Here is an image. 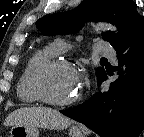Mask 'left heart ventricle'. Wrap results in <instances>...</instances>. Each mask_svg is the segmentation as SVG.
<instances>
[{
    "mask_svg": "<svg viewBox=\"0 0 144 137\" xmlns=\"http://www.w3.org/2000/svg\"><path fill=\"white\" fill-rule=\"evenodd\" d=\"M76 76V72L66 68L54 69L43 78L44 90L55 100H69L78 93Z\"/></svg>",
    "mask_w": 144,
    "mask_h": 137,
    "instance_id": "left-heart-ventricle-1",
    "label": "left heart ventricle"
}]
</instances>
